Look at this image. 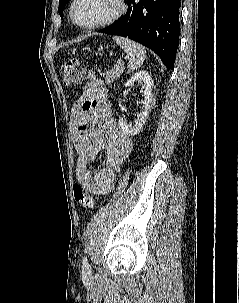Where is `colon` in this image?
Segmentation results:
<instances>
[{
	"mask_svg": "<svg viewBox=\"0 0 239 303\" xmlns=\"http://www.w3.org/2000/svg\"><path fill=\"white\" fill-rule=\"evenodd\" d=\"M61 72L63 76V82L67 86L79 84L84 78L83 67L76 59L64 62L61 67ZM73 195L75 201L82 205L84 208L90 209L94 207V197L87 193L82 186L75 185L73 187Z\"/></svg>",
	"mask_w": 239,
	"mask_h": 303,
	"instance_id": "1",
	"label": "colon"
}]
</instances>
